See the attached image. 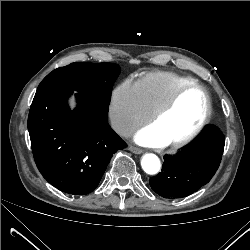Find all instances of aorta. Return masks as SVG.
<instances>
[{"label":"aorta","instance_id":"aorta-1","mask_svg":"<svg viewBox=\"0 0 250 250\" xmlns=\"http://www.w3.org/2000/svg\"><path fill=\"white\" fill-rule=\"evenodd\" d=\"M142 169L150 175L159 172L161 164L159 158L155 154H145L141 160Z\"/></svg>","mask_w":250,"mask_h":250}]
</instances>
